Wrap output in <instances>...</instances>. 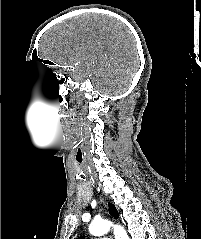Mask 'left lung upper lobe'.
Listing matches in <instances>:
<instances>
[{"label":"left lung upper lobe","instance_id":"obj_1","mask_svg":"<svg viewBox=\"0 0 201 239\" xmlns=\"http://www.w3.org/2000/svg\"><path fill=\"white\" fill-rule=\"evenodd\" d=\"M108 206H109V213L110 215H112L113 217H118L119 214H118V211L117 209L115 208V206L111 203H108ZM78 239H84V237H79Z\"/></svg>","mask_w":201,"mask_h":239}]
</instances>
